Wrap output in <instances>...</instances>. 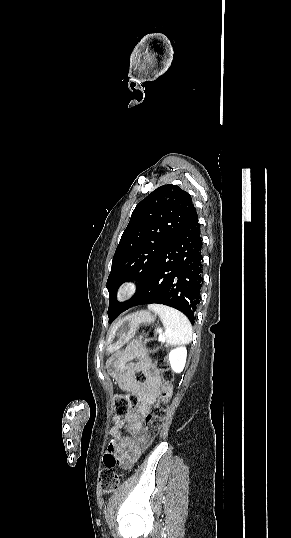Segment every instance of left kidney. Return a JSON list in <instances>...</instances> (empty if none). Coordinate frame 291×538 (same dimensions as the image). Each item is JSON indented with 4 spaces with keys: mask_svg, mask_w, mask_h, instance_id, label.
I'll use <instances>...</instances> for the list:
<instances>
[{
    "mask_svg": "<svg viewBox=\"0 0 291 538\" xmlns=\"http://www.w3.org/2000/svg\"><path fill=\"white\" fill-rule=\"evenodd\" d=\"M186 357V347L181 346L171 350L168 355L171 369L176 373L182 372L185 367Z\"/></svg>",
    "mask_w": 291,
    "mask_h": 538,
    "instance_id": "1",
    "label": "left kidney"
}]
</instances>
